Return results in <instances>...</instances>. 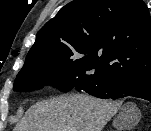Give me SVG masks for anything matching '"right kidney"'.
<instances>
[{"label":"right kidney","instance_id":"right-kidney-1","mask_svg":"<svg viewBox=\"0 0 151 131\" xmlns=\"http://www.w3.org/2000/svg\"><path fill=\"white\" fill-rule=\"evenodd\" d=\"M122 125H123V121L121 120V121L119 122V127L121 128Z\"/></svg>","mask_w":151,"mask_h":131}]
</instances>
